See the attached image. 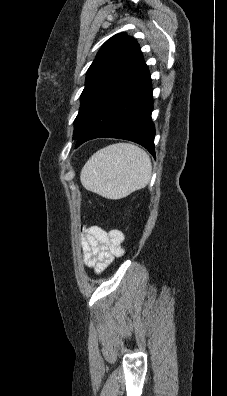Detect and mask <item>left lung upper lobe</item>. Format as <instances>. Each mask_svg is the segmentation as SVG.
<instances>
[{"label": "left lung upper lobe", "mask_w": 227, "mask_h": 396, "mask_svg": "<svg viewBox=\"0 0 227 396\" xmlns=\"http://www.w3.org/2000/svg\"><path fill=\"white\" fill-rule=\"evenodd\" d=\"M144 62L137 41L119 33L108 39L87 71L73 139L82 131L97 104Z\"/></svg>", "instance_id": "obj_1"}]
</instances>
